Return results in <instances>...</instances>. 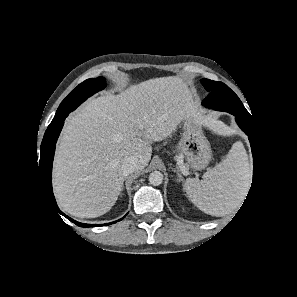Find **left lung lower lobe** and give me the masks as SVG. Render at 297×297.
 I'll return each mask as SVG.
<instances>
[{
    "mask_svg": "<svg viewBox=\"0 0 297 297\" xmlns=\"http://www.w3.org/2000/svg\"><path fill=\"white\" fill-rule=\"evenodd\" d=\"M236 122L239 125V127L248 135L250 145L252 147V154H253V163H254V172L257 169L258 165V141L256 138V133H255V127L253 120H247L243 119L240 116H236Z\"/></svg>",
    "mask_w": 297,
    "mask_h": 297,
    "instance_id": "0a47b994",
    "label": "left lung lower lobe"
}]
</instances>
